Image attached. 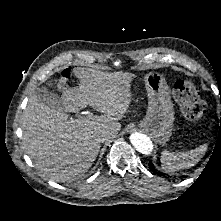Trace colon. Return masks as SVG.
<instances>
[{"mask_svg": "<svg viewBox=\"0 0 221 221\" xmlns=\"http://www.w3.org/2000/svg\"><path fill=\"white\" fill-rule=\"evenodd\" d=\"M71 75V70L63 71L60 81L61 86H65ZM174 96L180 105L184 116L192 121H200L206 114L207 105L199 98L196 86L188 80L177 81L174 85Z\"/></svg>", "mask_w": 221, "mask_h": 221, "instance_id": "obj_1", "label": "colon"}]
</instances>
